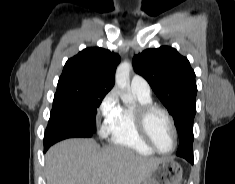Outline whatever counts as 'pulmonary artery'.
Instances as JSON below:
<instances>
[{
  "mask_svg": "<svg viewBox=\"0 0 235 184\" xmlns=\"http://www.w3.org/2000/svg\"><path fill=\"white\" fill-rule=\"evenodd\" d=\"M131 89L142 98H150L151 89L148 82L140 75H134L131 79Z\"/></svg>",
  "mask_w": 235,
  "mask_h": 184,
  "instance_id": "obj_1",
  "label": "pulmonary artery"
}]
</instances>
